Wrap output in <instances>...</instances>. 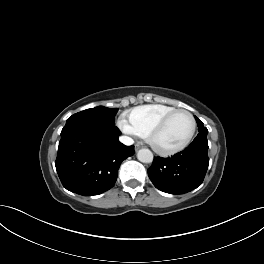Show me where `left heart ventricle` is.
<instances>
[{"mask_svg":"<svg viewBox=\"0 0 264 264\" xmlns=\"http://www.w3.org/2000/svg\"><path fill=\"white\" fill-rule=\"evenodd\" d=\"M192 129V122L188 115L177 114L156 135L155 143L162 148L174 147L184 142Z\"/></svg>","mask_w":264,"mask_h":264,"instance_id":"b2bd125f","label":"left heart ventricle"}]
</instances>
